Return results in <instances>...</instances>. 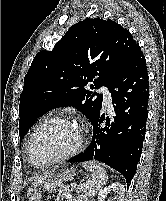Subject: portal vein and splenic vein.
<instances>
[{
	"mask_svg": "<svg viewBox=\"0 0 166 201\" xmlns=\"http://www.w3.org/2000/svg\"><path fill=\"white\" fill-rule=\"evenodd\" d=\"M65 196H67V197H68V196H70V195H69L68 193H65Z\"/></svg>",
	"mask_w": 166,
	"mask_h": 201,
	"instance_id": "portal-vein-and-splenic-vein-1",
	"label": "portal vein and splenic vein"
}]
</instances>
